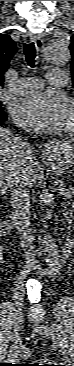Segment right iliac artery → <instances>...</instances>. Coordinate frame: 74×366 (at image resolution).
<instances>
[{
	"mask_svg": "<svg viewBox=\"0 0 74 366\" xmlns=\"http://www.w3.org/2000/svg\"><path fill=\"white\" fill-rule=\"evenodd\" d=\"M17 356V351L16 350H11L9 357H16Z\"/></svg>",
	"mask_w": 74,
	"mask_h": 366,
	"instance_id": "1",
	"label": "right iliac artery"
}]
</instances>
